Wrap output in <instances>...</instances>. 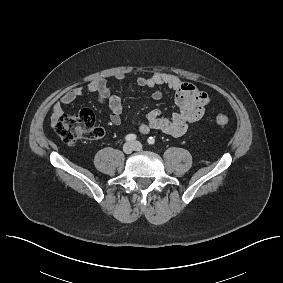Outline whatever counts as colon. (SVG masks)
Listing matches in <instances>:
<instances>
[{
	"label": "colon",
	"mask_w": 283,
	"mask_h": 283,
	"mask_svg": "<svg viewBox=\"0 0 283 283\" xmlns=\"http://www.w3.org/2000/svg\"><path fill=\"white\" fill-rule=\"evenodd\" d=\"M215 122L219 126H226L230 120L228 116L219 114L215 117ZM55 130L61 141L69 146L80 139H98L104 133L103 129L96 125L94 114L90 110L61 116L55 122Z\"/></svg>",
	"instance_id": "obj_1"
}]
</instances>
